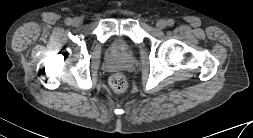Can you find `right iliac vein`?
Returning <instances> with one entry per match:
<instances>
[{
	"label": "right iliac vein",
	"instance_id": "right-iliac-vein-1",
	"mask_svg": "<svg viewBox=\"0 0 253 138\" xmlns=\"http://www.w3.org/2000/svg\"><path fill=\"white\" fill-rule=\"evenodd\" d=\"M79 22H80V20H73V21L71 22V26H72V27H76V26L78 25Z\"/></svg>",
	"mask_w": 253,
	"mask_h": 138
}]
</instances>
